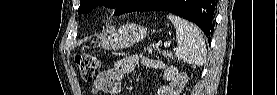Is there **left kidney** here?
I'll use <instances>...</instances> for the list:
<instances>
[{
  "label": "left kidney",
  "instance_id": "1",
  "mask_svg": "<svg viewBox=\"0 0 277 95\" xmlns=\"http://www.w3.org/2000/svg\"><path fill=\"white\" fill-rule=\"evenodd\" d=\"M172 80L173 81L170 84V88H169V92H171V93L176 91V85L183 84V80L178 78V75H176Z\"/></svg>",
  "mask_w": 277,
  "mask_h": 95
}]
</instances>
